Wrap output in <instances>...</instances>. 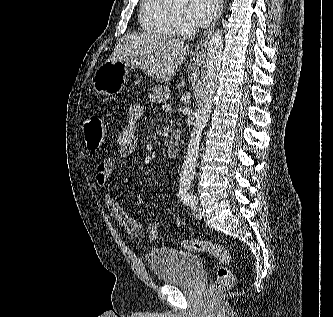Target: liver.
Masks as SVG:
<instances>
[{
  "instance_id": "6515ba94",
  "label": "liver",
  "mask_w": 333,
  "mask_h": 317,
  "mask_svg": "<svg viewBox=\"0 0 333 317\" xmlns=\"http://www.w3.org/2000/svg\"><path fill=\"white\" fill-rule=\"evenodd\" d=\"M190 51L181 39L134 32L118 42L108 61L135 65L153 79L167 82L178 73Z\"/></svg>"
}]
</instances>
